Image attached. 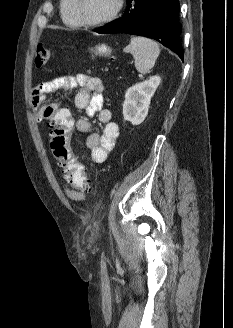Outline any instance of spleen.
Listing matches in <instances>:
<instances>
[{
    "label": "spleen",
    "mask_w": 233,
    "mask_h": 328,
    "mask_svg": "<svg viewBox=\"0 0 233 328\" xmlns=\"http://www.w3.org/2000/svg\"><path fill=\"white\" fill-rule=\"evenodd\" d=\"M124 52L133 55L136 70L145 74L154 67L160 54V48L154 40L136 36L131 38L129 45L124 48Z\"/></svg>",
    "instance_id": "3e777b00"
}]
</instances>
